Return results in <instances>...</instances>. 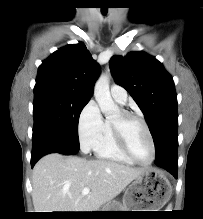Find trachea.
Segmentation results:
<instances>
[{
    "label": "trachea",
    "instance_id": "obj_1",
    "mask_svg": "<svg viewBox=\"0 0 203 219\" xmlns=\"http://www.w3.org/2000/svg\"><path fill=\"white\" fill-rule=\"evenodd\" d=\"M102 13H103V14H106L107 12H106V11H102Z\"/></svg>",
    "mask_w": 203,
    "mask_h": 219
}]
</instances>
